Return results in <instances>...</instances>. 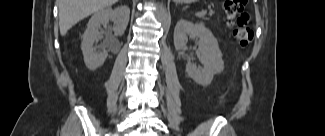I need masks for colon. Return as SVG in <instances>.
Wrapping results in <instances>:
<instances>
[{
	"mask_svg": "<svg viewBox=\"0 0 325 136\" xmlns=\"http://www.w3.org/2000/svg\"><path fill=\"white\" fill-rule=\"evenodd\" d=\"M247 0H225L224 9L228 16V25L239 46L249 45L253 31L249 27V15L244 11Z\"/></svg>",
	"mask_w": 325,
	"mask_h": 136,
	"instance_id": "5ec220e1",
	"label": "colon"
}]
</instances>
